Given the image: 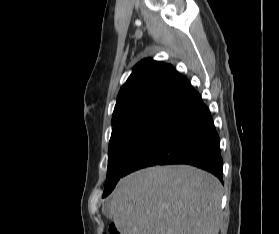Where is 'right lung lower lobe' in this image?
<instances>
[{"mask_svg": "<svg viewBox=\"0 0 279 234\" xmlns=\"http://www.w3.org/2000/svg\"><path fill=\"white\" fill-rule=\"evenodd\" d=\"M157 164L193 165L222 181L219 136L209 109L193 88L169 109L142 142L124 174Z\"/></svg>", "mask_w": 279, "mask_h": 234, "instance_id": "98d812e1", "label": "right lung lower lobe"}]
</instances>
